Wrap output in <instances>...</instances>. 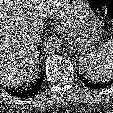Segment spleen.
<instances>
[{"mask_svg":"<svg viewBox=\"0 0 113 113\" xmlns=\"http://www.w3.org/2000/svg\"><path fill=\"white\" fill-rule=\"evenodd\" d=\"M79 62L86 75L93 81L113 79V39L102 43L94 52L83 53Z\"/></svg>","mask_w":113,"mask_h":113,"instance_id":"1","label":"spleen"}]
</instances>
